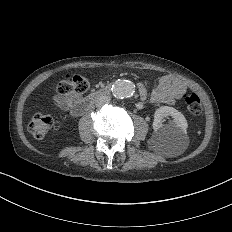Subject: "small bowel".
<instances>
[{"mask_svg": "<svg viewBox=\"0 0 232 232\" xmlns=\"http://www.w3.org/2000/svg\"><path fill=\"white\" fill-rule=\"evenodd\" d=\"M186 84L179 78L174 76H164L158 81L157 87L149 94L146 86L139 85L137 99L142 102L149 100L151 104L160 102L174 103L180 99L185 93Z\"/></svg>", "mask_w": 232, "mask_h": 232, "instance_id": "c3829d8e", "label": "small bowel"}]
</instances>
